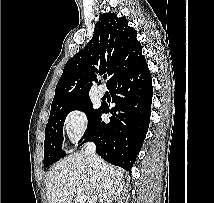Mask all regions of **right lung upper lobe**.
<instances>
[{
    "label": "right lung upper lobe",
    "instance_id": "obj_1",
    "mask_svg": "<svg viewBox=\"0 0 214 203\" xmlns=\"http://www.w3.org/2000/svg\"><path fill=\"white\" fill-rule=\"evenodd\" d=\"M136 35L126 18L114 13L100 15L91 41L64 66L51 111L89 97L98 74H108L109 88L115 80L144 64L146 60Z\"/></svg>",
    "mask_w": 214,
    "mask_h": 203
}]
</instances>
